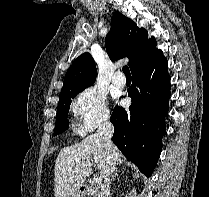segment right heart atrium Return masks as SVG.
Instances as JSON below:
<instances>
[{
    "instance_id": "d8ad5b80",
    "label": "right heart atrium",
    "mask_w": 209,
    "mask_h": 197,
    "mask_svg": "<svg viewBox=\"0 0 209 197\" xmlns=\"http://www.w3.org/2000/svg\"><path fill=\"white\" fill-rule=\"evenodd\" d=\"M71 111L77 120V130L82 135L104 124L110 117L106 95L95 87L81 91L73 100Z\"/></svg>"
}]
</instances>
